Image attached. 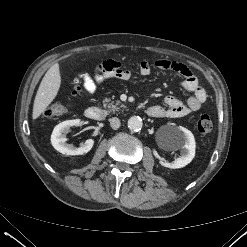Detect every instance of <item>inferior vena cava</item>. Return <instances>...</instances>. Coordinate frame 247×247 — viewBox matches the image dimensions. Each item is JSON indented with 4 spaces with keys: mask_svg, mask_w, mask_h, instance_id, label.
Returning a JSON list of instances; mask_svg holds the SVG:
<instances>
[{
    "mask_svg": "<svg viewBox=\"0 0 247 247\" xmlns=\"http://www.w3.org/2000/svg\"><path fill=\"white\" fill-rule=\"evenodd\" d=\"M121 123L117 117H113L110 119V126L112 129L116 130L120 127Z\"/></svg>",
    "mask_w": 247,
    "mask_h": 247,
    "instance_id": "obj_1",
    "label": "inferior vena cava"
}]
</instances>
